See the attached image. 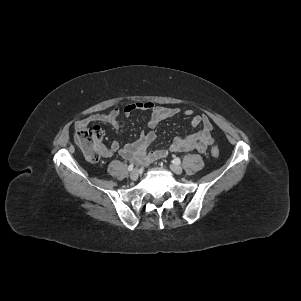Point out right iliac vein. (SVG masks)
Segmentation results:
<instances>
[{
	"label": "right iliac vein",
	"mask_w": 301,
	"mask_h": 301,
	"mask_svg": "<svg viewBox=\"0 0 301 301\" xmlns=\"http://www.w3.org/2000/svg\"><path fill=\"white\" fill-rule=\"evenodd\" d=\"M139 176V170L135 168L131 173H130V178L132 180H137Z\"/></svg>",
	"instance_id": "obj_1"
}]
</instances>
